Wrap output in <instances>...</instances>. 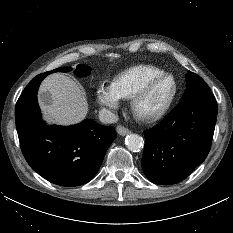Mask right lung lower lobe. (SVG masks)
<instances>
[{
    "mask_svg": "<svg viewBox=\"0 0 233 233\" xmlns=\"http://www.w3.org/2000/svg\"><path fill=\"white\" fill-rule=\"evenodd\" d=\"M47 75L33 78L17 101L15 121L21 150L31 168L46 180L80 186L96 175L117 134L114 128L88 119L69 127L47 126L37 102L39 85Z\"/></svg>",
    "mask_w": 233,
    "mask_h": 233,
    "instance_id": "98d812e1",
    "label": "right lung lower lobe"
}]
</instances>
